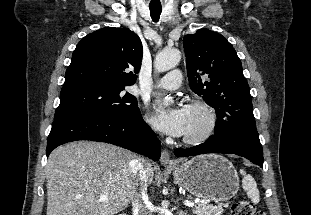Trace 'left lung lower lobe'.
<instances>
[{"mask_svg": "<svg viewBox=\"0 0 311 215\" xmlns=\"http://www.w3.org/2000/svg\"><path fill=\"white\" fill-rule=\"evenodd\" d=\"M205 153H232L243 156L263 166V151L256 126H237L222 134L211 135L203 144L175 149L177 157L196 156Z\"/></svg>", "mask_w": 311, "mask_h": 215, "instance_id": "left-lung-lower-lobe-1", "label": "left lung lower lobe"}]
</instances>
